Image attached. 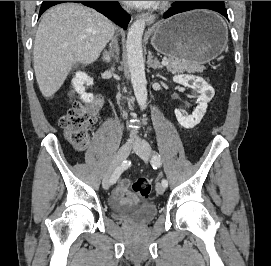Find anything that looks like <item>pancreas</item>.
I'll return each mask as SVG.
<instances>
[{
    "label": "pancreas",
    "mask_w": 271,
    "mask_h": 266,
    "mask_svg": "<svg viewBox=\"0 0 271 266\" xmlns=\"http://www.w3.org/2000/svg\"><path fill=\"white\" fill-rule=\"evenodd\" d=\"M167 61H168V65L166 66L167 70L169 72H172L173 74L180 73L185 70L190 72H202L204 69V67L201 66L200 64L191 63L184 60L168 58Z\"/></svg>",
    "instance_id": "obj_1"
}]
</instances>
